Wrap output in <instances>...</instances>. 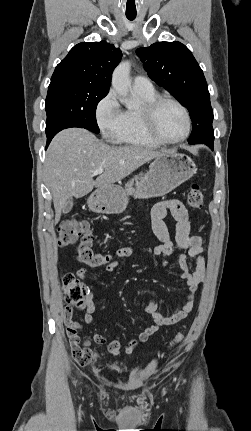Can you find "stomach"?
Masks as SVG:
<instances>
[{
    "mask_svg": "<svg viewBox=\"0 0 251 431\" xmlns=\"http://www.w3.org/2000/svg\"><path fill=\"white\" fill-rule=\"evenodd\" d=\"M196 173L192 159L175 150H169L156 157L149 166V171L136 182L135 198L163 196ZM88 207L95 213L119 214L128 204V198L121 186L111 185L96 190L87 201Z\"/></svg>",
    "mask_w": 251,
    "mask_h": 431,
    "instance_id": "obj_1",
    "label": "stomach"
}]
</instances>
